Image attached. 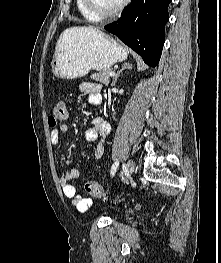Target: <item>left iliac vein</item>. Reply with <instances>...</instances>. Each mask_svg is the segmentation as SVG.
Segmentation results:
<instances>
[{"instance_id":"4c4485c4","label":"left iliac vein","mask_w":221,"mask_h":263,"mask_svg":"<svg viewBox=\"0 0 221 263\" xmlns=\"http://www.w3.org/2000/svg\"><path fill=\"white\" fill-rule=\"evenodd\" d=\"M134 169H135V163H134V161H133V160H129V161L127 162V164H126V169H125V175H126V177H127V176H130V175L133 173ZM126 177H124L123 180H125Z\"/></svg>"}]
</instances>
